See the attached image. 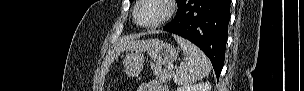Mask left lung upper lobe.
<instances>
[{"label": "left lung upper lobe", "mask_w": 304, "mask_h": 91, "mask_svg": "<svg viewBox=\"0 0 304 91\" xmlns=\"http://www.w3.org/2000/svg\"><path fill=\"white\" fill-rule=\"evenodd\" d=\"M130 1H132V0H130ZM176 2H177V4L180 2V0H176Z\"/></svg>", "instance_id": "5c2ea615"}]
</instances>
